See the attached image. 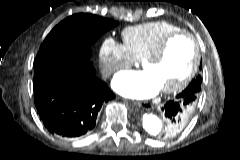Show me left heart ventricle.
Returning a JSON list of instances; mask_svg holds the SVG:
<instances>
[{"instance_id":"obj_1","label":"left heart ventricle","mask_w":240,"mask_h":160,"mask_svg":"<svg viewBox=\"0 0 240 160\" xmlns=\"http://www.w3.org/2000/svg\"><path fill=\"white\" fill-rule=\"evenodd\" d=\"M194 58L191 42L185 37L175 38L168 45L164 56L157 62L146 64L149 72L160 88L174 85L185 77Z\"/></svg>"}]
</instances>
